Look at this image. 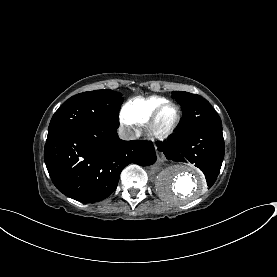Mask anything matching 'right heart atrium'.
I'll return each mask as SVG.
<instances>
[{"label": "right heart atrium", "instance_id": "obj_1", "mask_svg": "<svg viewBox=\"0 0 277 277\" xmlns=\"http://www.w3.org/2000/svg\"><path fill=\"white\" fill-rule=\"evenodd\" d=\"M126 124H127V125H130L131 123H129V122H126Z\"/></svg>", "mask_w": 277, "mask_h": 277}]
</instances>
